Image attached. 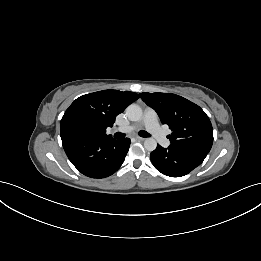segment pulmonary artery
<instances>
[{
  "label": "pulmonary artery",
  "instance_id": "e3ab8cb5",
  "mask_svg": "<svg viewBox=\"0 0 261 261\" xmlns=\"http://www.w3.org/2000/svg\"><path fill=\"white\" fill-rule=\"evenodd\" d=\"M141 126H145L146 129L163 147H168L170 145V140L167 138L166 134L161 129L158 123L156 112L151 108L145 109L143 119L140 123H135L123 128H118L117 130L124 133H130L138 130Z\"/></svg>",
  "mask_w": 261,
  "mask_h": 261
}]
</instances>
